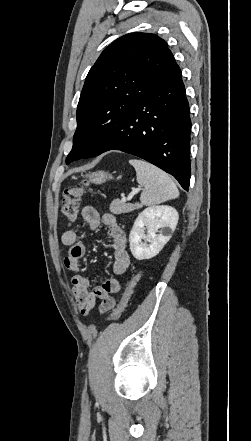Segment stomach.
<instances>
[{"label": "stomach", "instance_id": "obj_1", "mask_svg": "<svg viewBox=\"0 0 251 441\" xmlns=\"http://www.w3.org/2000/svg\"><path fill=\"white\" fill-rule=\"evenodd\" d=\"M86 178H88V180L91 183L102 184V183L106 182L107 180L113 179V176L105 171H96V172L87 174Z\"/></svg>", "mask_w": 251, "mask_h": 441}]
</instances>
